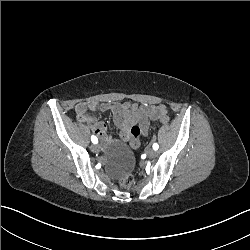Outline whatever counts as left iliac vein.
Here are the masks:
<instances>
[{
    "instance_id": "1",
    "label": "left iliac vein",
    "mask_w": 250,
    "mask_h": 250,
    "mask_svg": "<svg viewBox=\"0 0 250 250\" xmlns=\"http://www.w3.org/2000/svg\"><path fill=\"white\" fill-rule=\"evenodd\" d=\"M157 152L154 149H148L147 150V155L149 158H154L156 156Z\"/></svg>"
}]
</instances>
